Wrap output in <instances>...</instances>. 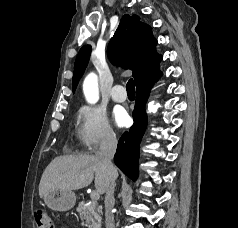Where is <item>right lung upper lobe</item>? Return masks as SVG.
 <instances>
[{
  "instance_id": "cb5924a9",
  "label": "right lung upper lobe",
  "mask_w": 238,
  "mask_h": 228,
  "mask_svg": "<svg viewBox=\"0 0 238 228\" xmlns=\"http://www.w3.org/2000/svg\"><path fill=\"white\" fill-rule=\"evenodd\" d=\"M156 44L149 25L142 23L137 15H124L110 40L108 56L113 63L133 70L132 76L138 85L158 71L162 56L156 53ZM90 52L91 47L85 45L76 57L73 92L88 64Z\"/></svg>"
}]
</instances>
